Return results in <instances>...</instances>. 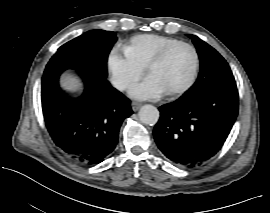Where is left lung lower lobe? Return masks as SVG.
Masks as SVG:
<instances>
[{
  "mask_svg": "<svg viewBox=\"0 0 270 213\" xmlns=\"http://www.w3.org/2000/svg\"><path fill=\"white\" fill-rule=\"evenodd\" d=\"M159 110L153 131L158 148L173 164L194 167L214 156L228 137L238 114L237 86L229 81Z\"/></svg>",
  "mask_w": 270,
  "mask_h": 213,
  "instance_id": "1",
  "label": "left lung lower lobe"
}]
</instances>
